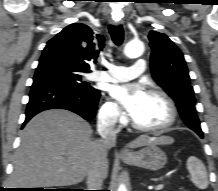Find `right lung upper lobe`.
<instances>
[{"label":"right lung upper lobe","mask_w":218,"mask_h":191,"mask_svg":"<svg viewBox=\"0 0 218 191\" xmlns=\"http://www.w3.org/2000/svg\"><path fill=\"white\" fill-rule=\"evenodd\" d=\"M103 47L102 35H95L87 25L73 23L47 42L42 56L56 57L80 71L89 72V62L98 57Z\"/></svg>","instance_id":"obj_1"}]
</instances>
